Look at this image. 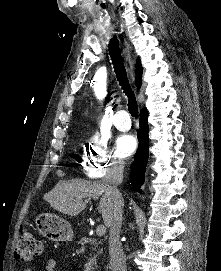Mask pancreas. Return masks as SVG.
<instances>
[{
    "label": "pancreas",
    "mask_w": 221,
    "mask_h": 271,
    "mask_svg": "<svg viewBox=\"0 0 221 271\" xmlns=\"http://www.w3.org/2000/svg\"><path fill=\"white\" fill-rule=\"evenodd\" d=\"M78 242H80V245H87L88 237H78ZM95 251L96 253L94 257H89L87 263H84L85 271H92V265L96 263L97 255H99V253H102L103 249L102 247H97V245H95Z\"/></svg>",
    "instance_id": "obj_1"
}]
</instances>
